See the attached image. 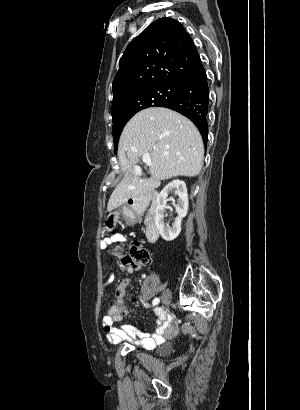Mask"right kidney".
Returning a JSON list of instances; mask_svg holds the SVG:
<instances>
[{"label":"right kidney","instance_id":"obj_1","mask_svg":"<svg viewBox=\"0 0 300 410\" xmlns=\"http://www.w3.org/2000/svg\"><path fill=\"white\" fill-rule=\"evenodd\" d=\"M171 191H175V194L178 196L177 202L174 205L178 216L175 218L172 226L165 223L164 220L167 197ZM154 212L155 225L161 237L165 241H172L177 238L181 232L182 219L188 212V194L185 182L181 180H173L167 184L157 196V206Z\"/></svg>","mask_w":300,"mask_h":410}]
</instances>
